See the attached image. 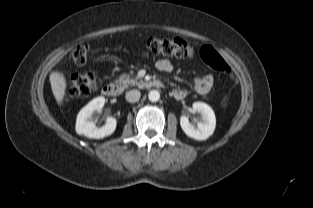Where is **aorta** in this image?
<instances>
[{
  "label": "aorta",
  "instance_id": "1",
  "mask_svg": "<svg viewBox=\"0 0 313 208\" xmlns=\"http://www.w3.org/2000/svg\"><path fill=\"white\" fill-rule=\"evenodd\" d=\"M148 98L151 102H157L160 99V93L157 90H151L148 94Z\"/></svg>",
  "mask_w": 313,
  "mask_h": 208
}]
</instances>
